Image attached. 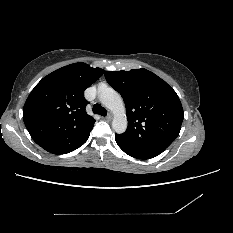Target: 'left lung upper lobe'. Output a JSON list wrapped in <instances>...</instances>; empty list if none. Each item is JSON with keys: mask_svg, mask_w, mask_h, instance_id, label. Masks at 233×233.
<instances>
[{"mask_svg": "<svg viewBox=\"0 0 233 233\" xmlns=\"http://www.w3.org/2000/svg\"><path fill=\"white\" fill-rule=\"evenodd\" d=\"M107 82L121 94L128 119L118 139L137 152L158 156L179 135L184 112L172 87L151 71H106Z\"/></svg>", "mask_w": 233, "mask_h": 233, "instance_id": "obj_1", "label": "left lung upper lobe"}]
</instances>
